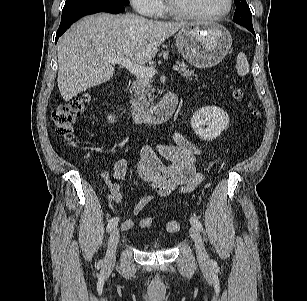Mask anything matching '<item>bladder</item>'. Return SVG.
Wrapping results in <instances>:
<instances>
[{
    "label": "bladder",
    "mask_w": 307,
    "mask_h": 301,
    "mask_svg": "<svg viewBox=\"0 0 307 301\" xmlns=\"http://www.w3.org/2000/svg\"><path fill=\"white\" fill-rule=\"evenodd\" d=\"M158 249H159V246H156V247H155V250H158Z\"/></svg>",
    "instance_id": "obj_1"
}]
</instances>
